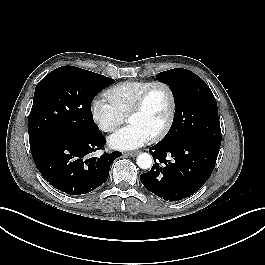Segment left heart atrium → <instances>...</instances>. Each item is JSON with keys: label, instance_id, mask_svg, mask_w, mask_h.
Wrapping results in <instances>:
<instances>
[{"label": "left heart atrium", "instance_id": "left-heart-atrium-1", "mask_svg": "<svg viewBox=\"0 0 265 265\" xmlns=\"http://www.w3.org/2000/svg\"><path fill=\"white\" fill-rule=\"evenodd\" d=\"M151 135L135 124L119 129L108 138L109 146L116 150H133L143 146Z\"/></svg>", "mask_w": 265, "mask_h": 265}]
</instances>
